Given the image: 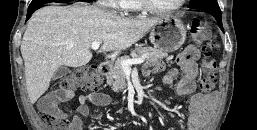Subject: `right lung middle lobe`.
<instances>
[{"instance_id": "dd1d6c3e", "label": "right lung middle lobe", "mask_w": 257, "mask_h": 130, "mask_svg": "<svg viewBox=\"0 0 257 130\" xmlns=\"http://www.w3.org/2000/svg\"><path fill=\"white\" fill-rule=\"evenodd\" d=\"M52 2L46 0H33L28 8V12H33L45 3Z\"/></svg>"}]
</instances>
